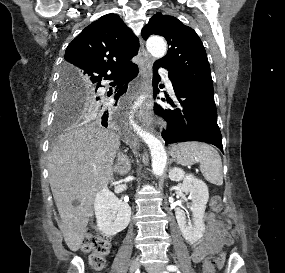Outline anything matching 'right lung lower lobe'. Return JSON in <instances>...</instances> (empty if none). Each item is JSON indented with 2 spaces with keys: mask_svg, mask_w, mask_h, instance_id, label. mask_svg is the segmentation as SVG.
Listing matches in <instances>:
<instances>
[{
  "mask_svg": "<svg viewBox=\"0 0 285 273\" xmlns=\"http://www.w3.org/2000/svg\"><path fill=\"white\" fill-rule=\"evenodd\" d=\"M138 74V67L135 64H131L129 66H127L126 68L122 69L121 71L115 73V74H111L101 80H99L98 82H96L95 86L96 89L99 88L101 86V81L102 80H114L117 83V94L115 96V99L118 100V98L120 97V95H122L126 89H127V84L137 76ZM111 118H112V113L109 110L104 109V107H102V111L100 114V118H99V122L107 127L110 123H111Z\"/></svg>",
  "mask_w": 285,
  "mask_h": 273,
  "instance_id": "right-lung-lower-lobe-1",
  "label": "right lung lower lobe"
}]
</instances>
